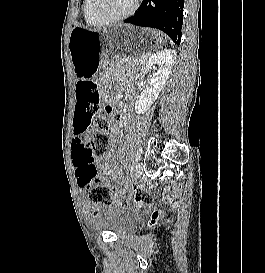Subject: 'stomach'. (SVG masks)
I'll return each instance as SVG.
<instances>
[{"instance_id":"0dacf381","label":"stomach","mask_w":265,"mask_h":273,"mask_svg":"<svg viewBox=\"0 0 265 273\" xmlns=\"http://www.w3.org/2000/svg\"><path fill=\"white\" fill-rule=\"evenodd\" d=\"M160 39L155 30H144V25H112L97 31L74 27L69 39L74 72L79 79L99 78V73L116 69V64H137L142 56L155 55L151 49L165 45Z\"/></svg>"}]
</instances>
